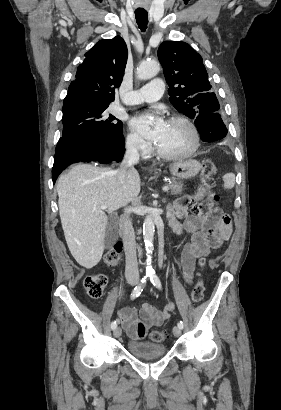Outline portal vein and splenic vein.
<instances>
[{
    "label": "portal vein and splenic vein",
    "instance_id": "obj_1",
    "mask_svg": "<svg viewBox=\"0 0 281 410\" xmlns=\"http://www.w3.org/2000/svg\"><path fill=\"white\" fill-rule=\"evenodd\" d=\"M162 190H163L164 192H167V191L169 190V186H163ZM100 209H101V210H106L107 207H106V206H101Z\"/></svg>",
    "mask_w": 281,
    "mask_h": 410
}]
</instances>
